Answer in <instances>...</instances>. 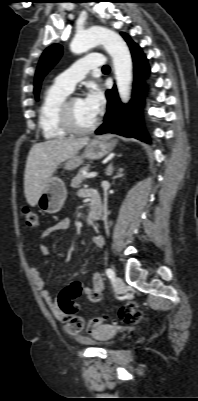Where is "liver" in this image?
<instances>
[{
    "label": "liver",
    "instance_id": "liver-1",
    "mask_svg": "<svg viewBox=\"0 0 198 401\" xmlns=\"http://www.w3.org/2000/svg\"><path fill=\"white\" fill-rule=\"evenodd\" d=\"M89 141V137L56 138L32 146L24 174V193L30 206L37 204L58 165L76 155Z\"/></svg>",
    "mask_w": 198,
    "mask_h": 401
}]
</instances>
